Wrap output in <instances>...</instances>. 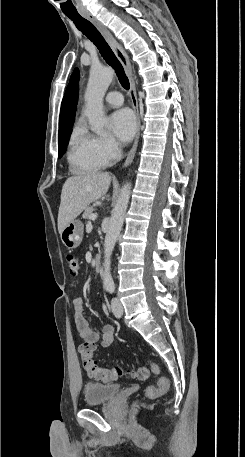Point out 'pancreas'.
Here are the masks:
<instances>
[{
  "mask_svg": "<svg viewBox=\"0 0 245 457\" xmlns=\"http://www.w3.org/2000/svg\"><path fill=\"white\" fill-rule=\"evenodd\" d=\"M93 210H95L94 206H86L82 218H90L91 214H93Z\"/></svg>",
  "mask_w": 245,
  "mask_h": 457,
  "instance_id": "pancreas-1",
  "label": "pancreas"
}]
</instances>
